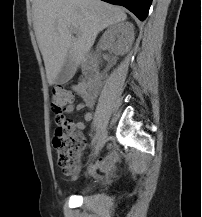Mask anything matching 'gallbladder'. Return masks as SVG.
<instances>
[{
	"label": "gallbladder",
	"instance_id": "bac80fb5",
	"mask_svg": "<svg viewBox=\"0 0 202 217\" xmlns=\"http://www.w3.org/2000/svg\"><path fill=\"white\" fill-rule=\"evenodd\" d=\"M76 72V63L72 56H68L59 71L54 84L55 85H63L70 81Z\"/></svg>",
	"mask_w": 202,
	"mask_h": 217
}]
</instances>
